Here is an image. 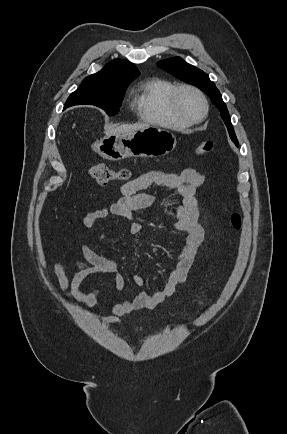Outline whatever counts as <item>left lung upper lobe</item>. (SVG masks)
I'll list each match as a JSON object with an SVG mask.
<instances>
[{
	"label": "left lung upper lobe",
	"mask_w": 287,
	"mask_h": 434,
	"mask_svg": "<svg viewBox=\"0 0 287 434\" xmlns=\"http://www.w3.org/2000/svg\"><path fill=\"white\" fill-rule=\"evenodd\" d=\"M157 65L166 72L175 76L176 78L195 85L203 92H205L210 97L211 101L215 104V106L220 110L221 117L227 126L231 140L236 145H238V140L233 130L227 107L222 100V96L219 90L216 88L215 84L209 79V76L205 72L186 63L180 57H174L159 61Z\"/></svg>",
	"instance_id": "5c2ea615"
}]
</instances>
